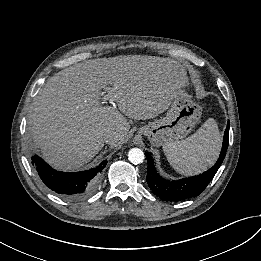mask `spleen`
Masks as SVG:
<instances>
[{
  "mask_svg": "<svg viewBox=\"0 0 261 261\" xmlns=\"http://www.w3.org/2000/svg\"><path fill=\"white\" fill-rule=\"evenodd\" d=\"M221 148V134L213 118L190 137L163 146L170 165L180 174L194 175L206 170L216 161Z\"/></svg>",
  "mask_w": 261,
  "mask_h": 261,
  "instance_id": "spleen-1",
  "label": "spleen"
}]
</instances>
